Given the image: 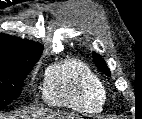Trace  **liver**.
Segmentation results:
<instances>
[{
  "label": "liver",
  "mask_w": 142,
  "mask_h": 119,
  "mask_svg": "<svg viewBox=\"0 0 142 119\" xmlns=\"http://www.w3.org/2000/svg\"><path fill=\"white\" fill-rule=\"evenodd\" d=\"M20 118L22 119H72L74 118L71 115H61V114H57L55 112L52 111H46V110H28V111H24L21 115H19ZM0 119H16V116H3L2 114H0Z\"/></svg>",
  "instance_id": "1"
}]
</instances>
